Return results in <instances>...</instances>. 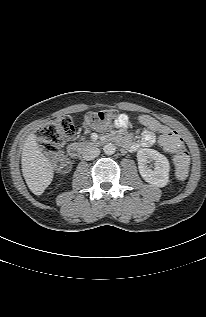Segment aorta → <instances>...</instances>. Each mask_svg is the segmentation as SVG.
Instances as JSON below:
<instances>
[{"mask_svg": "<svg viewBox=\"0 0 206 317\" xmlns=\"http://www.w3.org/2000/svg\"><path fill=\"white\" fill-rule=\"evenodd\" d=\"M103 151L106 155H112L116 151V146L112 143H108L103 147Z\"/></svg>", "mask_w": 206, "mask_h": 317, "instance_id": "1", "label": "aorta"}]
</instances>
